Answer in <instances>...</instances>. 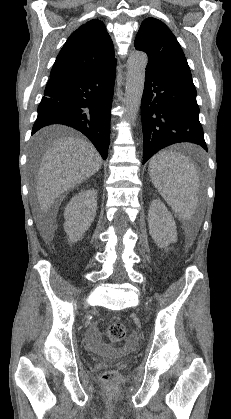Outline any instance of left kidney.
<instances>
[{
	"label": "left kidney",
	"instance_id": "left-kidney-1",
	"mask_svg": "<svg viewBox=\"0 0 231 419\" xmlns=\"http://www.w3.org/2000/svg\"><path fill=\"white\" fill-rule=\"evenodd\" d=\"M149 233L161 248L177 241V230L173 216L160 200H153L148 212Z\"/></svg>",
	"mask_w": 231,
	"mask_h": 419
}]
</instances>
